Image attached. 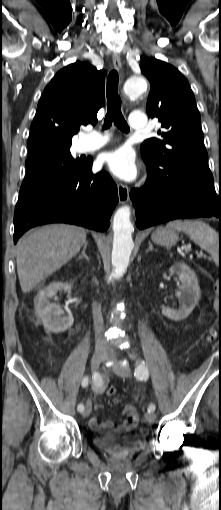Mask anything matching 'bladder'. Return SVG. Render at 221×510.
<instances>
[{"label":"bladder","mask_w":221,"mask_h":510,"mask_svg":"<svg viewBox=\"0 0 221 510\" xmlns=\"http://www.w3.org/2000/svg\"><path fill=\"white\" fill-rule=\"evenodd\" d=\"M94 444L100 451L112 455L133 454L146 447L143 437L119 435L118 433L95 437Z\"/></svg>","instance_id":"31cf9c89"}]
</instances>
